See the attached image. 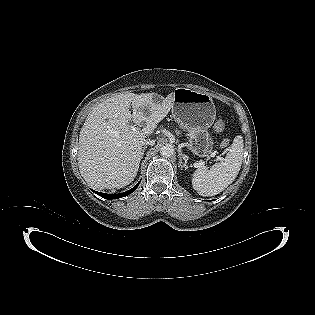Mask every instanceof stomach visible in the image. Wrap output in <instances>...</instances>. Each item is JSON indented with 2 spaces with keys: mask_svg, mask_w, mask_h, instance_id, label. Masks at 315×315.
Returning a JSON list of instances; mask_svg holds the SVG:
<instances>
[{
  "mask_svg": "<svg viewBox=\"0 0 315 315\" xmlns=\"http://www.w3.org/2000/svg\"><path fill=\"white\" fill-rule=\"evenodd\" d=\"M172 116L186 129L191 152L199 157H208L214 146L208 129L216 117L212 97L198 90L176 88L173 92Z\"/></svg>",
  "mask_w": 315,
  "mask_h": 315,
  "instance_id": "0dacf381",
  "label": "stomach"
}]
</instances>
